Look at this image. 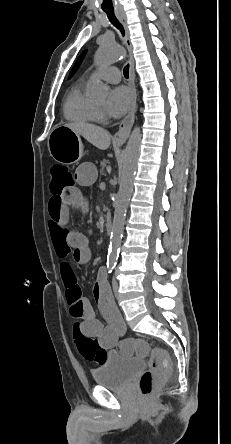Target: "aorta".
Segmentation results:
<instances>
[{"label":"aorta","mask_w":231,"mask_h":444,"mask_svg":"<svg viewBox=\"0 0 231 444\" xmlns=\"http://www.w3.org/2000/svg\"><path fill=\"white\" fill-rule=\"evenodd\" d=\"M123 56V49L115 41H106L99 46L95 54V63L98 66H108L123 58ZM90 90L92 96L98 100H103L108 95V87L99 81L92 83ZM140 144V128L135 127L126 146L124 160L119 176V191L115 201V212L107 257L108 265H114L118 257V250L121 244L126 212L133 192L134 176L137 169Z\"/></svg>","instance_id":"obj_1"}]
</instances>
